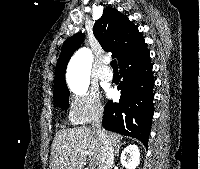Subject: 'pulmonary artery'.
Wrapping results in <instances>:
<instances>
[{
  "mask_svg": "<svg viewBox=\"0 0 200 169\" xmlns=\"http://www.w3.org/2000/svg\"><path fill=\"white\" fill-rule=\"evenodd\" d=\"M98 76L105 82H109L113 79V73L108 66H104L103 69L98 72Z\"/></svg>",
  "mask_w": 200,
  "mask_h": 169,
  "instance_id": "obj_1",
  "label": "pulmonary artery"
}]
</instances>
